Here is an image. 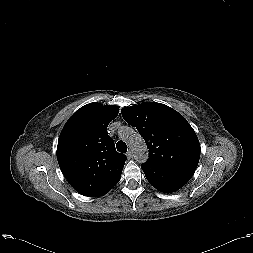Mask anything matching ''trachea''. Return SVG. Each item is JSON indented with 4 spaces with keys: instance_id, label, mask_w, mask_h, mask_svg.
I'll list each match as a JSON object with an SVG mask.
<instances>
[{
    "instance_id": "3493384b",
    "label": "trachea",
    "mask_w": 253,
    "mask_h": 253,
    "mask_svg": "<svg viewBox=\"0 0 253 253\" xmlns=\"http://www.w3.org/2000/svg\"><path fill=\"white\" fill-rule=\"evenodd\" d=\"M116 148L121 153H126L127 152V145H126L125 142H123L121 140L117 142Z\"/></svg>"
}]
</instances>
